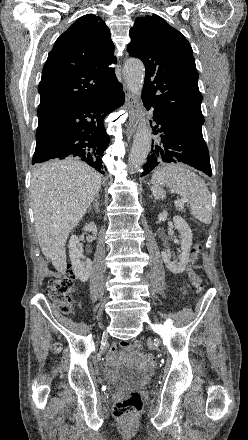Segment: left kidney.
Returning <instances> with one entry per match:
<instances>
[{"mask_svg": "<svg viewBox=\"0 0 248 440\" xmlns=\"http://www.w3.org/2000/svg\"><path fill=\"white\" fill-rule=\"evenodd\" d=\"M168 213L162 212L158 215L160 221L167 219ZM173 222L175 228L181 234V252L178 256V260L171 261V255L168 251H162L161 257L166 267L174 274H180L185 270L186 265L189 262V253L192 245V231L187 222L181 216H174Z\"/></svg>", "mask_w": 248, "mask_h": 440, "instance_id": "obj_1", "label": "left kidney"}]
</instances>
